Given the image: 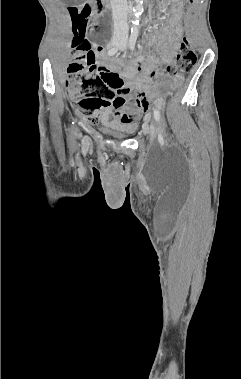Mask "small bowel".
I'll return each mask as SVG.
<instances>
[{
  "label": "small bowel",
  "instance_id": "small-bowel-1",
  "mask_svg": "<svg viewBox=\"0 0 241 379\" xmlns=\"http://www.w3.org/2000/svg\"><path fill=\"white\" fill-rule=\"evenodd\" d=\"M183 0H169L170 17L169 23L165 26L158 37L154 40L155 49L164 63H171L175 50L179 47L183 28L181 25V6ZM154 62L150 61L139 69L134 66L128 67L122 74L128 85L138 89H129L126 95H118L116 100L110 106V110L104 115L103 119L107 120L110 116L114 121L126 129L133 130L136 128L142 115H147L151 108V101L146 100L145 95L149 94L148 86L149 75L153 69ZM112 70V69H110ZM126 87L128 85L123 78L114 71ZM129 88V87H128ZM158 103V102H157Z\"/></svg>",
  "mask_w": 241,
  "mask_h": 379
}]
</instances>
